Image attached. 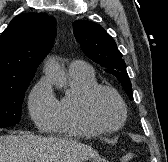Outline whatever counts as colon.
I'll use <instances>...</instances> for the list:
<instances>
[{
	"instance_id": "1",
	"label": "colon",
	"mask_w": 168,
	"mask_h": 162,
	"mask_svg": "<svg viewBox=\"0 0 168 162\" xmlns=\"http://www.w3.org/2000/svg\"><path fill=\"white\" fill-rule=\"evenodd\" d=\"M122 162H134V155L133 154H126L121 158Z\"/></svg>"
}]
</instances>
